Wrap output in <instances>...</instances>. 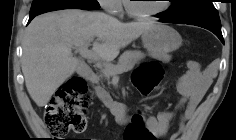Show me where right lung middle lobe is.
I'll list each match as a JSON object with an SVG mask.
<instances>
[{"mask_svg":"<svg viewBox=\"0 0 236 140\" xmlns=\"http://www.w3.org/2000/svg\"><path fill=\"white\" fill-rule=\"evenodd\" d=\"M68 8L97 10L100 5L97 0H33L30 15Z\"/></svg>","mask_w":236,"mask_h":140,"instance_id":"obj_1","label":"right lung middle lobe"}]
</instances>
